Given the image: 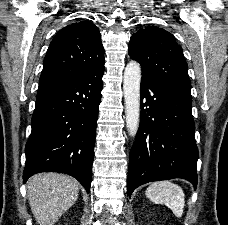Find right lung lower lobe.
Masks as SVG:
<instances>
[{
    "mask_svg": "<svg viewBox=\"0 0 228 225\" xmlns=\"http://www.w3.org/2000/svg\"><path fill=\"white\" fill-rule=\"evenodd\" d=\"M104 63L66 80L39 86L26 143L23 181L39 172L75 177L90 191Z\"/></svg>",
    "mask_w": 228,
    "mask_h": 225,
    "instance_id": "98d812e1",
    "label": "right lung lower lobe"
}]
</instances>
